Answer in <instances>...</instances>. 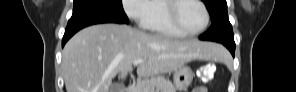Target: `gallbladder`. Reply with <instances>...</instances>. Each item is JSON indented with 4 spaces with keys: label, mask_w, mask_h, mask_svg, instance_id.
<instances>
[{
    "label": "gallbladder",
    "mask_w": 296,
    "mask_h": 92,
    "mask_svg": "<svg viewBox=\"0 0 296 92\" xmlns=\"http://www.w3.org/2000/svg\"><path fill=\"white\" fill-rule=\"evenodd\" d=\"M124 89V86L122 84L114 83L110 87V92H122Z\"/></svg>",
    "instance_id": "obj_1"
}]
</instances>
